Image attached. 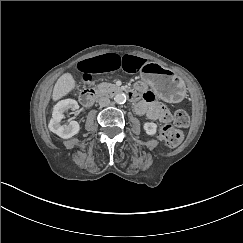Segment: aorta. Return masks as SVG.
Returning a JSON list of instances; mask_svg holds the SVG:
<instances>
[{"instance_id":"obj_1","label":"aorta","mask_w":243,"mask_h":243,"mask_svg":"<svg viewBox=\"0 0 243 243\" xmlns=\"http://www.w3.org/2000/svg\"><path fill=\"white\" fill-rule=\"evenodd\" d=\"M114 101L118 104H124L126 102V95L124 93H118L115 95Z\"/></svg>"}]
</instances>
